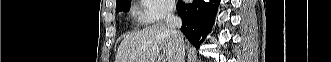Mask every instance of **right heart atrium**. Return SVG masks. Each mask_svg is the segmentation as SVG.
<instances>
[{"label":"right heart atrium","mask_w":331,"mask_h":62,"mask_svg":"<svg viewBox=\"0 0 331 62\" xmlns=\"http://www.w3.org/2000/svg\"><path fill=\"white\" fill-rule=\"evenodd\" d=\"M173 8V0H141L137 13L141 23L150 24L167 18Z\"/></svg>","instance_id":"right-heart-atrium-1"}]
</instances>
